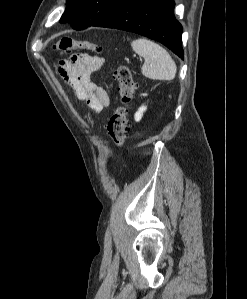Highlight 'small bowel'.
I'll use <instances>...</instances> for the list:
<instances>
[{"mask_svg":"<svg viewBox=\"0 0 247 299\" xmlns=\"http://www.w3.org/2000/svg\"><path fill=\"white\" fill-rule=\"evenodd\" d=\"M103 64L102 57L86 53L74 54L59 62V72L63 79L76 97L95 113L105 110L110 104L108 92L91 80L92 75L99 71Z\"/></svg>","mask_w":247,"mask_h":299,"instance_id":"obj_1","label":"small bowel"}]
</instances>
